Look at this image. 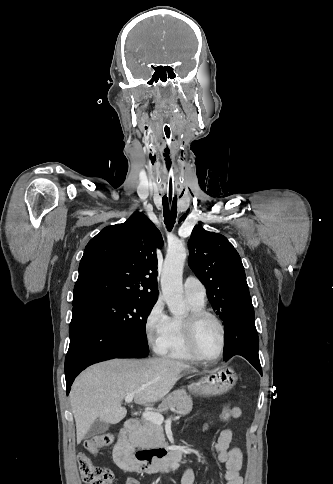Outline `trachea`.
I'll return each mask as SVG.
<instances>
[{"mask_svg": "<svg viewBox=\"0 0 333 484\" xmlns=\"http://www.w3.org/2000/svg\"><path fill=\"white\" fill-rule=\"evenodd\" d=\"M161 137L163 139L161 152L164 158L163 172H164V193H163V215L166 228L170 231L176 221L177 216V197L179 191L178 186V172L176 171L177 158L173 150L174 133L165 126Z\"/></svg>", "mask_w": 333, "mask_h": 484, "instance_id": "trachea-1", "label": "trachea"}]
</instances>
